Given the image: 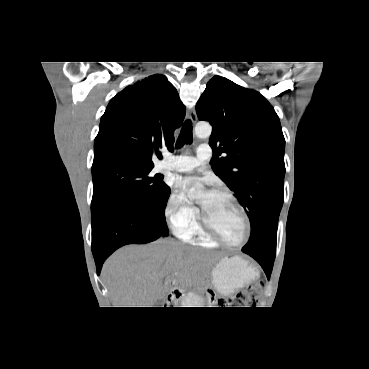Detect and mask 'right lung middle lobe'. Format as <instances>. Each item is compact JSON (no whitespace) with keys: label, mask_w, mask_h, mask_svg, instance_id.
I'll list each match as a JSON object with an SVG mask.
<instances>
[{"label":"right lung middle lobe","mask_w":369,"mask_h":369,"mask_svg":"<svg viewBox=\"0 0 369 369\" xmlns=\"http://www.w3.org/2000/svg\"><path fill=\"white\" fill-rule=\"evenodd\" d=\"M152 168L130 162L93 165L91 215L111 200L125 199L151 209L158 226L167 231L165 206L171 190L162 182V175L149 174Z\"/></svg>","instance_id":"right-lung-middle-lobe-1"}]
</instances>
